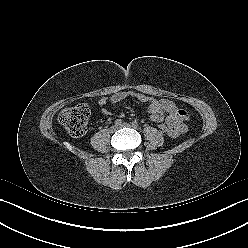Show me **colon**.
Masks as SVG:
<instances>
[{
	"label": "colon",
	"mask_w": 248,
	"mask_h": 248,
	"mask_svg": "<svg viewBox=\"0 0 248 248\" xmlns=\"http://www.w3.org/2000/svg\"><path fill=\"white\" fill-rule=\"evenodd\" d=\"M90 110L84 104L63 109L59 114V122L72 137H80L86 132ZM163 134L170 135V128L166 123L158 125Z\"/></svg>",
	"instance_id": "obj_1"
}]
</instances>
